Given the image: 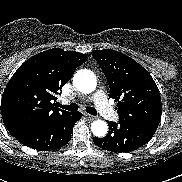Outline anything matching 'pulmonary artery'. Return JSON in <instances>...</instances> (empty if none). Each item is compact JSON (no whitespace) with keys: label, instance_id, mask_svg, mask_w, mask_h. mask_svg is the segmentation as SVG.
I'll list each match as a JSON object with an SVG mask.
<instances>
[{"label":"pulmonary artery","instance_id":"pulmonary-artery-1","mask_svg":"<svg viewBox=\"0 0 182 182\" xmlns=\"http://www.w3.org/2000/svg\"><path fill=\"white\" fill-rule=\"evenodd\" d=\"M91 100L104 118L110 121H115L118 118L117 113L108 103L107 96L102 90L96 91L91 97Z\"/></svg>","mask_w":182,"mask_h":182}]
</instances>
